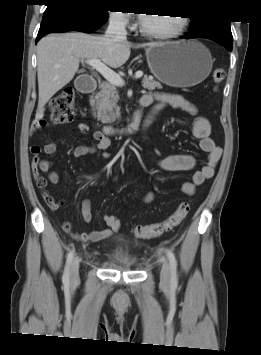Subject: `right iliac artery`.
Masks as SVG:
<instances>
[{"label":"right iliac artery","instance_id":"82829eb1","mask_svg":"<svg viewBox=\"0 0 261 355\" xmlns=\"http://www.w3.org/2000/svg\"><path fill=\"white\" fill-rule=\"evenodd\" d=\"M73 256H74V252H73V250H71L67 255L66 266H65V270H64V274H63V278H62L63 283L65 285L69 284L70 265L73 260Z\"/></svg>","mask_w":261,"mask_h":355}]
</instances>
